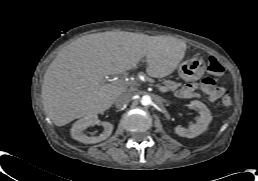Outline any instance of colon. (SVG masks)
Returning a JSON list of instances; mask_svg holds the SVG:
<instances>
[{
  "mask_svg": "<svg viewBox=\"0 0 258 181\" xmlns=\"http://www.w3.org/2000/svg\"><path fill=\"white\" fill-rule=\"evenodd\" d=\"M207 69L210 73L214 75H222L224 73L223 66L215 58L208 59ZM223 94L224 96L222 98V104L225 107H229L232 104V98L230 96V93L227 89H224Z\"/></svg>",
  "mask_w": 258,
  "mask_h": 181,
  "instance_id": "colon-1",
  "label": "colon"
}]
</instances>
